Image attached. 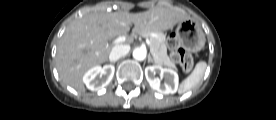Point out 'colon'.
Instances as JSON below:
<instances>
[{
  "instance_id": "obj_1",
  "label": "colon",
  "mask_w": 276,
  "mask_h": 120,
  "mask_svg": "<svg viewBox=\"0 0 276 120\" xmlns=\"http://www.w3.org/2000/svg\"><path fill=\"white\" fill-rule=\"evenodd\" d=\"M171 52V58L177 62L184 72H190L193 68V58L181 46L176 35H171L167 41Z\"/></svg>"
}]
</instances>
